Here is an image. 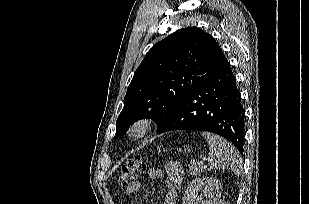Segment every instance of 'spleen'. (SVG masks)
<instances>
[{
	"instance_id": "3e777b00",
	"label": "spleen",
	"mask_w": 309,
	"mask_h": 204,
	"mask_svg": "<svg viewBox=\"0 0 309 204\" xmlns=\"http://www.w3.org/2000/svg\"><path fill=\"white\" fill-rule=\"evenodd\" d=\"M202 136L209 145V165L212 169H231L240 175L242 171V159L237 149L227 140L218 135L203 132Z\"/></svg>"
}]
</instances>
